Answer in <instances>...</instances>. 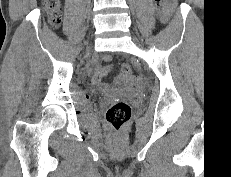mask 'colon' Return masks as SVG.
Masks as SVG:
<instances>
[{
    "instance_id": "5ec220e1",
    "label": "colon",
    "mask_w": 231,
    "mask_h": 177,
    "mask_svg": "<svg viewBox=\"0 0 231 177\" xmlns=\"http://www.w3.org/2000/svg\"><path fill=\"white\" fill-rule=\"evenodd\" d=\"M171 0H156L157 9L161 15L166 14L167 6ZM43 5L47 13L48 21L52 26L60 23L61 0H43ZM121 74L131 78L132 68L128 63L121 64ZM131 117V107L124 100L115 101L106 112L108 124L115 130H120Z\"/></svg>"
}]
</instances>
